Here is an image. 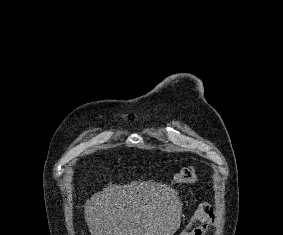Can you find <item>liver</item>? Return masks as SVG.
I'll list each match as a JSON object with an SVG mask.
<instances>
[{
	"label": "liver",
	"instance_id": "6515ba94",
	"mask_svg": "<svg viewBox=\"0 0 283 235\" xmlns=\"http://www.w3.org/2000/svg\"><path fill=\"white\" fill-rule=\"evenodd\" d=\"M179 198L166 184H109L85 205L91 235H172L180 224Z\"/></svg>",
	"mask_w": 283,
	"mask_h": 235
}]
</instances>
